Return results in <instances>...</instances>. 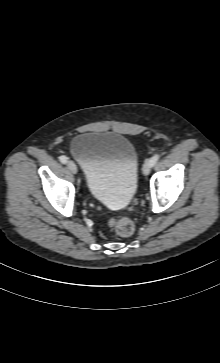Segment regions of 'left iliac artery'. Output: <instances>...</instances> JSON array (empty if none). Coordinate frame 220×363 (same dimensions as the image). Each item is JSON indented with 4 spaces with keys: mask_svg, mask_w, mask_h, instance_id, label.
Wrapping results in <instances>:
<instances>
[{
    "mask_svg": "<svg viewBox=\"0 0 220 363\" xmlns=\"http://www.w3.org/2000/svg\"><path fill=\"white\" fill-rule=\"evenodd\" d=\"M159 158H160V155H159V154H156V155H154L153 157H151V158L149 159V163H150V165H151V166H154V165L157 163V161L159 160Z\"/></svg>",
    "mask_w": 220,
    "mask_h": 363,
    "instance_id": "44dca946",
    "label": "left iliac artery"
}]
</instances>
